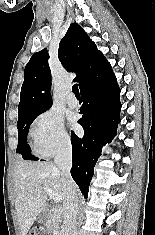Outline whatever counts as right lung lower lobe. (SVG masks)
<instances>
[{
    "label": "right lung lower lobe",
    "instance_id": "right-lung-lower-lobe-1",
    "mask_svg": "<svg viewBox=\"0 0 155 235\" xmlns=\"http://www.w3.org/2000/svg\"><path fill=\"white\" fill-rule=\"evenodd\" d=\"M83 114L78 123L84 129V136L71 132L73 165L71 175L85 198L94 173V166L101 154V148L112 141L120 123V89L111 70L80 89Z\"/></svg>",
    "mask_w": 155,
    "mask_h": 235
}]
</instances>
